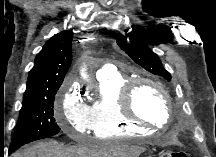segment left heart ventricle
<instances>
[{"instance_id": "obj_1", "label": "left heart ventricle", "mask_w": 216, "mask_h": 157, "mask_svg": "<svg viewBox=\"0 0 216 157\" xmlns=\"http://www.w3.org/2000/svg\"><path fill=\"white\" fill-rule=\"evenodd\" d=\"M134 110L136 113L156 125H164L167 120V111L164 100L158 89L142 84L134 96Z\"/></svg>"}]
</instances>
